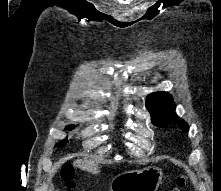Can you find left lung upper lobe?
Returning <instances> with one entry per match:
<instances>
[{"mask_svg":"<svg viewBox=\"0 0 221 191\" xmlns=\"http://www.w3.org/2000/svg\"><path fill=\"white\" fill-rule=\"evenodd\" d=\"M146 107L149 110L152 121L159 127L169 124H178L185 131L189 126L175 114V103L168 92H156L147 96Z\"/></svg>","mask_w":221,"mask_h":191,"instance_id":"1","label":"left lung upper lobe"}]
</instances>
